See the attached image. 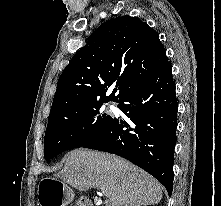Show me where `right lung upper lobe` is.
I'll list each match as a JSON object with an SVG mask.
<instances>
[{
    "instance_id": "obj_1",
    "label": "right lung upper lobe",
    "mask_w": 221,
    "mask_h": 206,
    "mask_svg": "<svg viewBox=\"0 0 221 206\" xmlns=\"http://www.w3.org/2000/svg\"><path fill=\"white\" fill-rule=\"evenodd\" d=\"M168 62L157 32L147 23L130 16L107 21L63 70L50 115L85 104L119 102Z\"/></svg>"
}]
</instances>
